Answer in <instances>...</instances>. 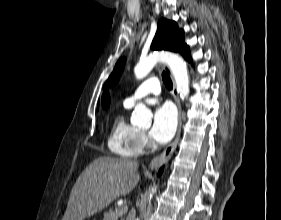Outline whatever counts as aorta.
Masks as SVG:
<instances>
[{"instance_id":"762f6f07","label":"aorta","mask_w":281,"mask_h":220,"mask_svg":"<svg viewBox=\"0 0 281 220\" xmlns=\"http://www.w3.org/2000/svg\"><path fill=\"white\" fill-rule=\"evenodd\" d=\"M157 62H163L169 66L174 76L180 97L182 99L188 97L190 89L186 63L180 56L174 53L160 52L141 59L134 68L136 78H144L153 69ZM151 117L152 114L150 110L143 103H138L133 111L131 123L138 126L150 125ZM155 191L156 188L152 189V192L149 195L150 199Z\"/></svg>"}]
</instances>
